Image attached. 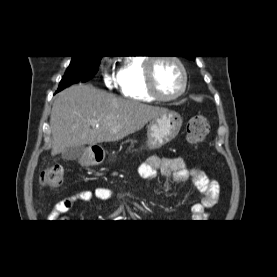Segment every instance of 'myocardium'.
Segmentation results:
<instances>
[{"mask_svg": "<svg viewBox=\"0 0 277 277\" xmlns=\"http://www.w3.org/2000/svg\"><path fill=\"white\" fill-rule=\"evenodd\" d=\"M159 59L171 60L180 69V72L182 75V86H181L180 90L172 96H164V95L160 94L159 91L157 90L153 66H154L155 62ZM145 84H146V89H147L148 93L151 96H153L156 100L165 101V102L175 100V99L179 98L180 96H182L187 90L188 74H187L186 67H185L184 63L181 61V59L175 55H164V56L149 58V60H146V63H145Z\"/></svg>", "mask_w": 277, "mask_h": 277, "instance_id": "1", "label": "myocardium"}]
</instances>
